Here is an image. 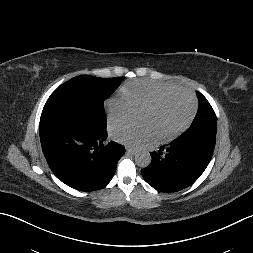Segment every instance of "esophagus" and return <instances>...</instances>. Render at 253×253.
Masks as SVG:
<instances>
[{"label":"esophagus","mask_w":253,"mask_h":253,"mask_svg":"<svg viewBox=\"0 0 253 253\" xmlns=\"http://www.w3.org/2000/svg\"><path fill=\"white\" fill-rule=\"evenodd\" d=\"M126 152L128 154L134 155L136 153V149L127 147Z\"/></svg>","instance_id":"obj_1"}]
</instances>
